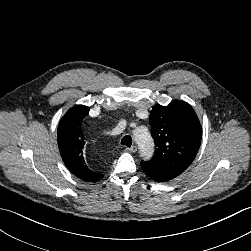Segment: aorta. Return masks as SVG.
Returning a JSON list of instances; mask_svg holds the SVG:
<instances>
[{
    "mask_svg": "<svg viewBox=\"0 0 251 251\" xmlns=\"http://www.w3.org/2000/svg\"><path fill=\"white\" fill-rule=\"evenodd\" d=\"M135 140L140 149V155L143 159L148 160L154 152V142L148 131L137 130L134 133Z\"/></svg>",
    "mask_w": 251,
    "mask_h": 251,
    "instance_id": "obj_1",
    "label": "aorta"
}]
</instances>
